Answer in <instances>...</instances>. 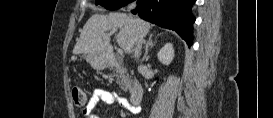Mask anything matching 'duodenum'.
I'll list each match as a JSON object with an SVG mask.
<instances>
[{
  "label": "duodenum",
  "mask_w": 273,
  "mask_h": 118,
  "mask_svg": "<svg viewBox=\"0 0 273 118\" xmlns=\"http://www.w3.org/2000/svg\"><path fill=\"white\" fill-rule=\"evenodd\" d=\"M106 59L107 61L112 64L116 65V62L114 58L110 54H106ZM126 68L123 67V70ZM143 97V87L140 83H135L134 85L131 86L129 90V100L132 105H138L142 101Z\"/></svg>",
  "instance_id": "obj_1"
}]
</instances>
